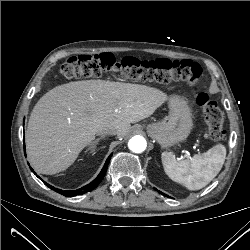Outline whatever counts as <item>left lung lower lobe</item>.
Here are the masks:
<instances>
[{
  "label": "left lung lower lobe",
  "mask_w": 250,
  "mask_h": 250,
  "mask_svg": "<svg viewBox=\"0 0 250 250\" xmlns=\"http://www.w3.org/2000/svg\"><path fill=\"white\" fill-rule=\"evenodd\" d=\"M155 190H157V189H155ZM158 192L161 193L162 195L166 196V197H169L168 195L162 193L161 191H158Z\"/></svg>",
  "instance_id": "obj_1"
}]
</instances>
